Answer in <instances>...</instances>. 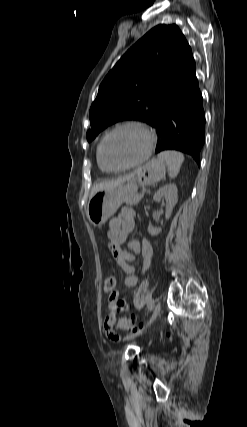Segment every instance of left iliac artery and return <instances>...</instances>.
<instances>
[{
    "instance_id": "1",
    "label": "left iliac artery",
    "mask_w": 247,
    "mask_h": 427,
    "mask_svg": "<svg viewBox=\"0 0 247 427\" xmlns=\"http://www.w3.org/2000/svg\"><path fill=\"white\" fill-rule=\"evenodd\" d=\"M153 305H154L153 301H151V300H150V301L148 302V309H149V310H152Z\"/></svg>"
}]
</instances>
